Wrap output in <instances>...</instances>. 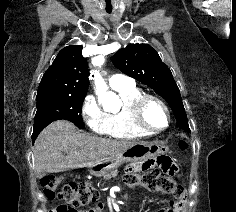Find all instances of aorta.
Returning <instances> with one entry per match:
<instances>
[{
	"label": "aorta",
	"instance_id": "1",
	"mask_svg": "<svg viewBox=\"0 0 236 212\" xmlns=\"http://www.w3.org/2000/svg\"><path fill=\"white\" fill-rule=\"evenodd\" d=\"M104 57L99 56L92 59V64L94 66H101L104 63ZM94 74V84L98 100L103 104L106 109L118 108L121 101L114 92L109 91L108 86L102 76L97 71H93Z\"/></svg>",
	"mask_w": 236,
	"mask_h": 212
}]
</instances>
